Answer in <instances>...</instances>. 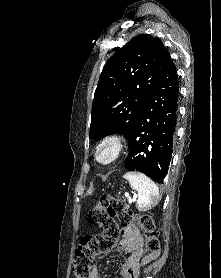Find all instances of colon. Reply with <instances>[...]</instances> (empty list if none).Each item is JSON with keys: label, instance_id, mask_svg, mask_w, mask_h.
<instances>
[{"label": "colon", "instance_id": "5ec220e1", "mask_svg": "<svg viewBox=\"0 0 221 278\" xmlns=\"http://www.w3.org/2000/svg\"><path fill=\"white\" fill-rule=\"evenodd\" d=\"M118 218L123 226L136 224L145 237V252L154 258L159 251L158 229L150 216H142L137 221L122 202L112 196L100 198L90 211L88 222L100 228L98 235H86L81 239L75 251L73 272L75 278H90L93 261L96 256L110 252L120 236Z\"/></svg>", "mask_w": 221, "mask_h": 278}]
</instances>
